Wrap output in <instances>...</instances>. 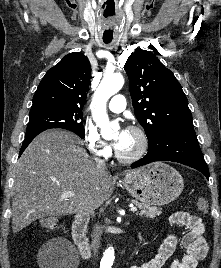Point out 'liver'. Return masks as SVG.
Returning <instances> with one entry per match:
<instances>
[{"mask_svg": "<svg viewBox=\"0 0 221 268\" xmlns=\"http://www.w3.org/2000/svg\"><path fill=\"white\" fill-rule=\"evenodd\" d=\"M78 142L73 133L47 130L23 152L14 168L13 232L47 216L93 210L111 197L114 182ZM66 191L75 197L62 199Z\"/></svg>", "mask_w": 221, "mask_h": 268, "instance_id": "6515ba94", "label": "liver"}]
</instances>
